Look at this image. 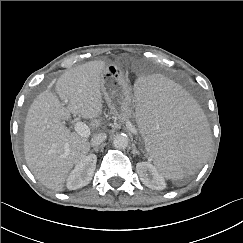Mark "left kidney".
Returning a JSON list of instances; mask_svg holds the SVG:
<instances>
[{
	"mask_svg": "<svg viewBox=\"0 0 243 243\" xmlns=\"http://www.w3.org/2000/svg\"><path fill=\"white\" fill-rule=\"evenodd\" d=\"M137 173L141 181L151 189L162 190L166 184L156 168L149 162H138L136 164Z\"/></svg>",
	"mask_w": 243,
	"mask_h": 243,
	"instance_id": "1",
	"label": "left kidney"
}]
</instances>
